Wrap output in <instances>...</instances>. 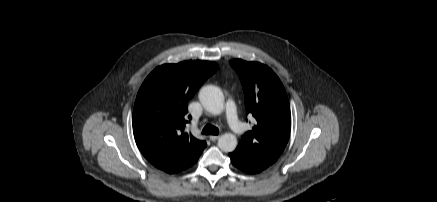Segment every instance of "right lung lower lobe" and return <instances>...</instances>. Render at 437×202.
Returning <instances> with one entry per match:
<instances>
[{"label": "right lung lower lobe", "instance_id": "1", "mask_svg": "<svg viewBox=\"0 0 437 202\" xmlns=\"http://www.w3.org/2000/svg\"><path fill=\"white\" fill-rule=\"evenodd\" d=\"M198 158H199V157H198ZM198 158H197L193 163H191L189 166H187L185 169H187V168L191 167L193 164H195V163L197 162ZM185 169H184V170H185Z\"/></svg>", "mask_w": 437, "mask_h": 202}]
</instances>
